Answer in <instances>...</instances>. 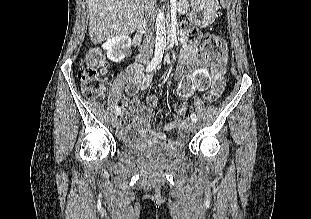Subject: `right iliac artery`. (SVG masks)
<instances>
[{
	"mask_svg": "<svg viewBox=\"0 0 311 219\" xmlns=\"http://www.w3.org/2000/svg\"><path fill=\"white\" fill-rule=\"evenodd\" d=\"M162 57H163V51L161 49H156L154 58L147 66L146 71H152L153 69H155L156 66L161 62ZM120 113H121V108L117 107L115 110V114L119 115Z\"/></svg>",
	"mask_w": 311,
	"mask_h": 219,
	"instance_id": "right-iliac-artery-1",
	"label": "right iliac artery"
}]
</instances>
